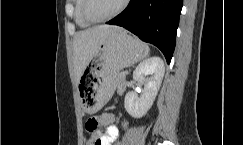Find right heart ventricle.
I'll use <instances>...</instances> for the list:
<instances>
[{
    "mask_svg": "<svg viewBox=\"0 0 243 145\" xmlns=\"http://www.w3.org/2000/svg\"><path fill=\"white\" fill-rule=\"evenodd\" d=\"M83 0H75V21L77 25L81 28H87L91 24L87 22L82 14Z\"/></svg>",
    "mask_w": 243,
    "mask_h": 145,
    "instance_id": "right-heart-ventricle-1",
    "label": "right heart ventricle"
}]
</instances>
